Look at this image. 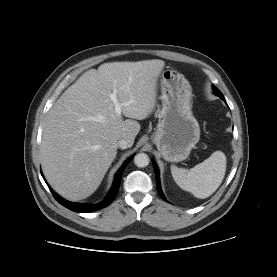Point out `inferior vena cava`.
<instances>
[{"mask_svg": "<svg viewBox=\"0 0 277 277\" xmlns=\"http://www.w3.org/2000/svg\"><path fill=\"white\" fill-rule=\"evenodd\" d=\"M117 145H118L119 148H122V149H126V148L130 147V143L126 139L119 140L117 142Z\"/></svg>", "mask_w": 277, "mask_h": 277, "instance_id": "602c4592", "label": "inferior vena cava"}]
</instances>
